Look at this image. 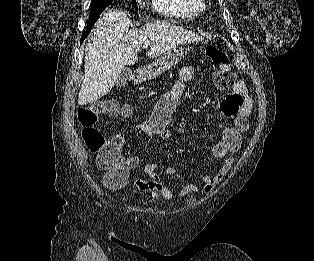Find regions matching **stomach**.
I'll list each match as a JSON object with an SVG mask.
<instances>
[{"mask_svg":"<svg viewBox=\"0 0 314 261\" xmlns=\"http://www.w3.org/2000/svg\"><path fill=\"white\" fill-rule=\"evenodd\" d=\"M184 55V49L177 46L164 54H162L152 64L148 65L140 71L139 80L147 81L152 80L161 75L166 70L175 66Z\"/></svg>","mask_w":314,"mask_h":261,"instance_id":"0dacf381","label":"stomach"}]
</instances>
